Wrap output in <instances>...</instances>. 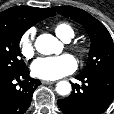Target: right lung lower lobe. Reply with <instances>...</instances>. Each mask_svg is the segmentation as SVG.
<instances>
[{"label":"right lung lower lobe","mask_w":114,"mask_h":114,"mask_svg":"<svg viewBox=\"0 0 114 114\" xmlns=\"http://www.w3.org/2000/svg\"><path fill=\"white\" fill-rule=\"evenodd\" d=\"M39 85L38 79L29 76L27 67L14 75L0 77V114H24Z\"/></svg>","instance_id":"1"}]
</instances>
